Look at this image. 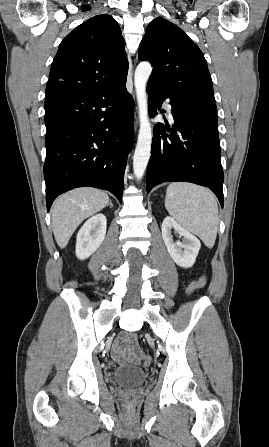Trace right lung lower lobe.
I'll return each mask as SVG.
<instances>
[{"label": "right lung lower lobe", "mask_w": 269, "mask_h": 447, "mask_svg": "<svg viewBox=\"0 0 269 447\" xmlns=\"http://www.w3.org/2000/svg\"><path fill=\"white\" fill-rule=\"evenodd\" d=\"M133 108L126 77L95 90L46 97L48 211L58 195L82 186L108 190L122 201Z\"/></svg>", "instance_id": "obj_1"}]
</instances>
